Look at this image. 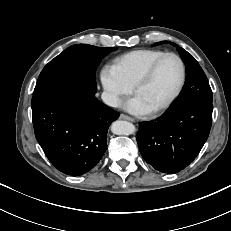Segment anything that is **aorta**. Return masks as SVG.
Instances as JSON below:
<instances>
[{
  "label": "aorta",
  "instance_id": "aorta-1",
  "mask_svg": "<svg viewBox=\"0 0 231 231\" xmlns=\"http://www.w3.org/2000/svg\"><path fill=\"white\" fill-rule=\"evenodd\" d=\"M135 126L128 121H115L111 125V131L116 135H130L135 132Z\"/></svg>",
  "mask_w": 231,
  "mask_h": 231
}]
</instances>
